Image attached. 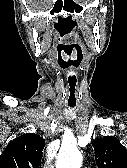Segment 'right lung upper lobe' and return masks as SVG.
<instances>
[{"mask_svg":"<svg viewBox=\"0 0 127 168\" xmlns=\"http://www.w3.org/2000/svg\"><path fill=\"white\" fill-rule=\"evenodd\" d=\"M45 140L34 133L11 141L0 156V168H41Z\"/></svg>","mask_w":127,"mask_h":168,"instance_id":"1","label":"right lung upper lobe"}]
</instances>
